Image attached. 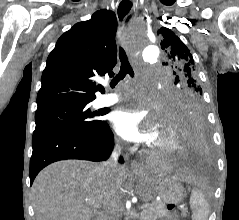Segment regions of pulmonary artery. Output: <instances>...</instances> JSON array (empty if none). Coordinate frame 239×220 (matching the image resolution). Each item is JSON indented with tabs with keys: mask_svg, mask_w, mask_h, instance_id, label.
I'll use <instances>...</instances> for the list:
<instances>
[{
	"mask_svg": "<svg viewBox=\"0 0 239 220\" xmlns=\"http://www.w3.org/2000/svg\"><path fill=\"white\" fill-rule=\"evenodd\" d=\"M121 100V96L117 93H108L101 97L100 103L101 105L107 106L117 103Z\"/></svg>",
	"mask_w": 239,
	"mask_h": 220,
	"instance_id": "obj_1",
	"label": "pulmonary artery"
}]
</instances>
